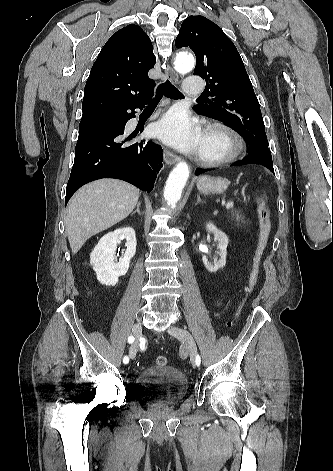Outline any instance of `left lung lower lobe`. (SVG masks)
Masks as SVG:
<instances>
[{"label": "left lung lower lobe", "mask_w": 333, "mask_h": 471, "mask_svg": "<svg viewBox=\"0 0 333 471\" xmlns=\"http://www.w3.org/2000/svg\"><path fill=\"white\" fill-rule=\"evenodd\" d=\"M246 164H261L267 167L272 173H274L272 156L270 151H258L254 153H249L241 161L232 164V166L246 165ZM209 171V169H197L195 175L202 174Z\"/></svg>", "instance_id": "1"}]
</instances>
